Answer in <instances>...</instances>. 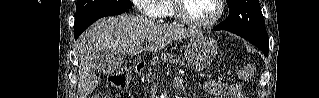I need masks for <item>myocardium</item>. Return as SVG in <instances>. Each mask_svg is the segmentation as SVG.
<instances>
[{
	"instance_id": "myocardium-1",
	"label": "myocardium",
	"mask_w": 319,
	"mask_h": 98,
	"mask_svg": "<svg viewBox=\"0 0 319 98\" xmlns=\"http://www.w3.org/2000/svg\"><path fill=\"white\" fill-rule=\"evenodd\" d=\"M218 10L217 13L209 20L206 21H198L188 17L183 11V0H174V12L175 17L183 24L188 25L194 28H209L215 25L224 14V1L223 0H215Z\"/></svg>"
}]
</instances>
